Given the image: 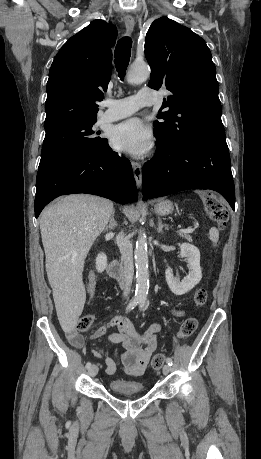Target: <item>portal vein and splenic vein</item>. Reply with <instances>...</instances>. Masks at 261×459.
<instances>
[{
  "instance_id": "portal-vein-and-splenic-vein-1",
  "label": "portal vein and splenic vein",
  "mask_w": 261,
  "mask_h": 459,
  "mask_svg": "<svg viewBox=\"0 0 261 459\" xmlns=\"http://www.w3.org/2000/svg\"><path fill=\"white\" fill-rule=\"evenodd\" d=\"M194 231V229L192 228H187V229H180L179 230V233H182V234H187V233H192Z\"/></svg>"
}]
</instances>
